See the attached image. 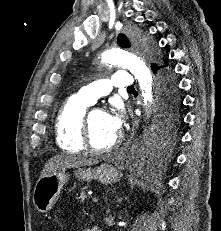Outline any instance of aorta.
Masks as SVG:
<instances>
[{
	"label": "aorta",
	"instance_id": "obj_1",
	"mask_svg": "<svg viewBox=\"0 0 221 231\" xmlns=\"http://www.w3.org/2000/svg\"><path fill=\"white\" fill-rule=\"evenodd\" d=\"M101 58L103 62L127 68L138 81L144 105L149 106L152 103V75L145 62L139 56L128 50L115 48L102 53Z\"/></svg>",
	"mask_w": 221,
	"mask_h": 231
}]
</instances>
